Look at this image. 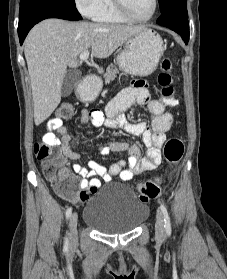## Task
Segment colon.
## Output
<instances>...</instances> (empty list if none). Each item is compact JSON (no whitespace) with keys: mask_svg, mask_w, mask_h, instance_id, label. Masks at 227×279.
<instances>
[{"mask_svg":"<svg viewBox=\"0 0 227 279\" xmlns=\"http://www.w3.org/2000/svg\"><path fill=\"white\" fill-rule=\"evenodd\" d=\"M173 68L172 62L169 59H164L161 62V72L158 74V85L160 87V94L165 103L169 106H176L178 99L173 85V78L171 70ZM75 107L71 104H64L59 109V119L68 120L73 115ZM57 144V139L54 134H49L43 142L34 145V155L40 162L43 172L47 179L55 186V189L63 196L71 199H85L84 193L79 192L77 188V181L70 179L67 181H57L55 173L57 169L64 163V158L61 153L54 148ZM184 153V142L178 136L170 137L164 147L165 160L170 164L178 163ZM93 189H97L96 185H92ZM138 195L141 202H148L156 199L161 195V185L158 178L149 179L138 185Z\"/></svg>","mask_w":227,"mask_h":279,"instance_id":"5ec220e1","label":"colon"}]
</instances>
